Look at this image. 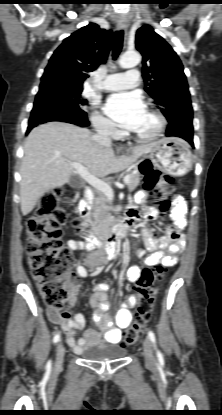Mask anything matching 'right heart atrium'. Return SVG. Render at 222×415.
I'll return each instance as SVG.
<instances>
[{
  "instance_id": "1",
  "label": "right heart atrium",
  "mask_w": 222,
  "mask_h": 415,
  "mask_svg": "<svg viewBox=\"0 0 222 415\" xmlns=\"http://www.w3.org/2000/svg\"><path fill=\"white\" fill-rule=\"evenodd\" d=\"M91 121L95 130L100 134L116 137L119 133L116 125L113 122L97 112L92 114Z\"/></svg>"
}]
</instances>
